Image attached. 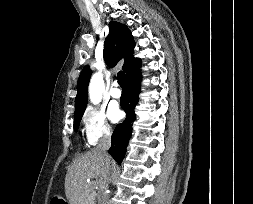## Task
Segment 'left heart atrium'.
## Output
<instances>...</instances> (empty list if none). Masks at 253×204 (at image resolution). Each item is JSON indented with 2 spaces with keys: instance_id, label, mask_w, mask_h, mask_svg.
Here are the masks:
<instances>
[{
  "instance_id": "obj_1",
  "label": "left heart atrium",
  "mask_w": 253,
  "mask_h": 204,
  "mask_svg": "<svg viewBox=\"0 0 253 204\" xmlns=\"http://www.w3.org/2000/svg\"><path fill=\"white\" fill-rule=\"evenodd\" d=\"M110 117L113 121H118L121 118V111L117 106H111L109 109Z\"/></svg>"
}]
</instances>
